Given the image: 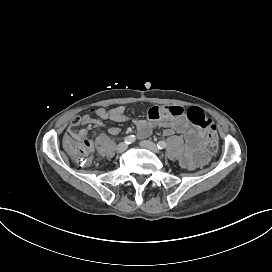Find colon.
Segmentation results:
<instances>
[{
	"label": "colon",
	"instance_id": "1",
	"mask_svg": "<svg viewBox=\"0 0 272 272\" xmlns=\"http://www.w3.org/2000/svg\"><path fill=\"white\" fill-rule=\"evenodd\" d=\"M186 111L188 120L200 129L206 147L210 151H215L219 146L217 124L209 117L206 110L196 105H189ZM65 145L67 153L73 157L78 169L84 170L90 166L92 153L90 140L86 136L83 139L75 135L69 136Z\"/></svg>",
	"mask_w": 272,
	"mask_h": 272
}]
</instances>
